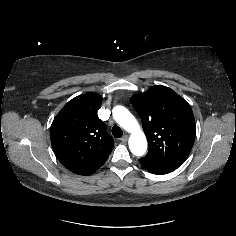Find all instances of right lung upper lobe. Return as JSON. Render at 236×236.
<instances>
[{
	"label": "right lung upper lobe",
	"mask_w": 236,
	"mask_h": 236,
	"mask_svg": "<svg viewBox=\"0 0 236 236\" xmlns=\"http://www.w3.org/2000/svg\"><path fill=\"white\" fill-rule=\"evenodd\" d=\"M98 94H83L69 101L54 118L50 138L60 163L79 175H91L106 161L114 140L107 134L97 110Z\"/></svg>",
	"instance_id": "obj_1"
}]
</instances>
